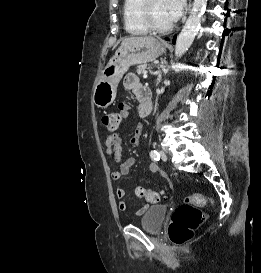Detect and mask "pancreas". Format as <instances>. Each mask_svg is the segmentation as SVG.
Listing matches in <instances>:
<instances>
[{"mask_svg":"<svg viewBox=\"0 0 261 273\" xmlns=\"http://www.w3.org/2000/svg\"><path fill=\"white\" fill-rule=\"evenodd\" d=\"M146 69H147L146 64H141V65L137 66V68H136L138 74H144V72H146Z\"/></svg>","mask_w":261,"mask_h":273,"instance_id":"cf45deb5","label":"pancreas"}]
</instances>
